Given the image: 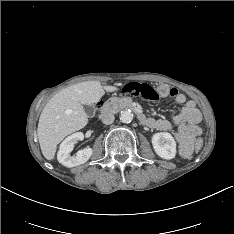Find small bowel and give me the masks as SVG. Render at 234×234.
I'll list each match as a JSON object with an SVG mask.
<instances>
[{
  "label": "small bowel",
  "instance_id": "1",
  "mask_svg": "<svg viewBox=\"0 0 234 234\" xmlns=\"http://www.w3.org/2000/svg\"><path fill=\"white\" fill-rule=\"evenodd\" d=\"M171 91V96L175 101L183 105L181 111L172 120L148 118L146 125L160 131L174 130L179 152L181 155L187 156L191 152L193 139L201 133L199 128L201 113L192 100H187L185 95L174 88Z\"/></svg>",
  "mask_w": 234,
  "mask_h": 234
}]
</instances>
